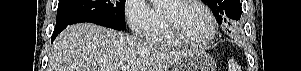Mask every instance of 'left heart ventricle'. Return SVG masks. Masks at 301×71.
Instances as JSON below:
<instances>
[{"label":"left heart ventricle","instance_id":"1","mask_svg":"<svg viewBox=\"0 0 301 71\" xmlns=\"http://www.w3.org/2000/svg\"><path fill=\"white\" fill-rule=\"evenodd\" d=\"M163 8L179 25L184 36L192 41H203L211 33V22L205 11L195 4L176 5L165 2Z\"/></svg>","mask_w":301,"mask_h":71}]
</instances>
